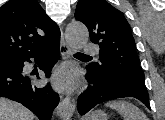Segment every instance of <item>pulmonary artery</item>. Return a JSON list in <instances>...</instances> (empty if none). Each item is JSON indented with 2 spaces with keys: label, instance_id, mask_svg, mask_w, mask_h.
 Here are the masks:
<instances>
[{
  "label": "pulmonary artery",
  "instance_id": "obj_1",
  "mask_svg": "<svg viewBox=\"0 0 165 120\" xmlns=\"http://www.w3.org/2000/svg\"><path fill=\"white\" fill-rule=\"evenodd\" d=\"M98 47L94 44L87 43L83 46V52L85 54H97L98 53Z\"/></svg>",
  "mask_w": 165,
  "mask_h": 120
}]
</instances>
